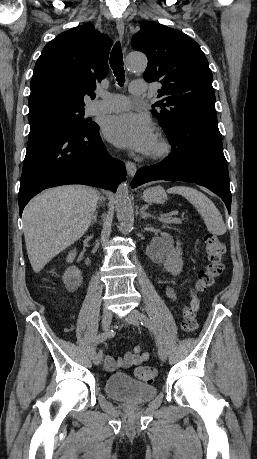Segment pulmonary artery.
I'll return each instance as SVG.
<instances>
[{"instance_id":"obj_1","label":"pulmonary artery","mask_w":257,"mask_h":459,"mask_svg":"<svg viewBox=\"0 0 257 459\" xmlns=\"http://www.w3.org/2000/svg\"><path fill=\"white\" fill-rule=\"evenodd\" d=\"M146 84L143 80H134L131 82L129 91L131 95L138 97L146 92ZM101 100L92 102L87 111L89 114L112 113L127 109L130 106V100L124 95L107 94L102 95Z\"/></svg>"}]
</instances>
